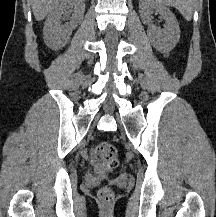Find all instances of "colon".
Listing matches in <instances>:
<instances>
[{
    "label": "colon",
    "mask_w": 216,
    "mask_h": 217,
    "mask_svg": "<svg viewBox=\"0 0 216 217\" xmlns=\"http://www.w3.org/2000/svg\"><path fill=\"white\" fill-rule=\"evenodd\" d=\"M95 154L101 164L108 170L115 169L119 163L118 150L115 145L108 141L99 142L95 147ZM99 201L109 204L113 200V191L109 187H102L98 192Z\"/></svg>",
    "instance_id": "colon-1"
}]
</instances>
